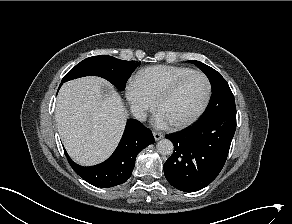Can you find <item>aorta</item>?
<instances>
[{
    "mask_svg": "<svg viewBox=\"0 0 292 224\" xmlns=\"http://www.w3.org/2000/svg\"><path fill=\"white\" fill-rule=\"evenodd\" d=\"M157 150L162 155H171L174 150L173 143L168 139H162L157 143Z\"/></svg>",
    "mask_w": 292,
    "mask_h": 224,
    "instance_id": "762f6f07",
    "label": "aorta"
}]
</instances>
